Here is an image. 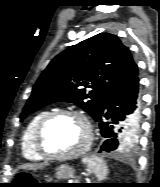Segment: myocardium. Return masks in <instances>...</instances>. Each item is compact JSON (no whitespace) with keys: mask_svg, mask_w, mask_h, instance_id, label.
<instances>
[{"mask_svg":"<svg viewBox=\"0 0 160 187\" xmlns=\"http://www.w3.org/2000/svg\"><path fill=\"white\" fill-rule=\"evenodd\" d=\"M73 116L79 118L87 131L84 145L79 149L64 153L55 152L46 146V136L50 126L59 118ZM93 142V128L89 118L82 112L74 109H63L48 113L39 123L35 132V146L39 154L49 160H69L78 158L88 152Z\"/></svg>","mask_w":160,"mask_h":187,"instance_id":"1","label":"myocardium"}]
</instances>
